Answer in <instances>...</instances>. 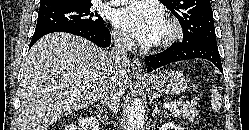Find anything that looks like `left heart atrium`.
<instances>
[{
	"label": "left heart atrium",
	"instance_id": "left-heart-atrium-1",
	"mask_svg": "<svg viewBox=\"0 0 249 130\" xmlns=\"http://www.w3.org/2000/svg\"><path fill=\"white\" fill-rule=\"evenodd\" d=\"M115 23L144 45L160 40L165 19L162 9L151 1H136L118 10Z\"/></svg>",
	"mask_w": 249,
	"mask_h": 130
}]
</instances>
